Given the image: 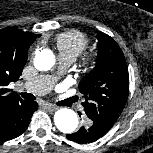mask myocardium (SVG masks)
<instances>
[{
	"mask_svg": "<svg viewBox=\"0 0 153 153\" xmlns=\"http://www.w3.org/2000/svg\"><path fill=\"white\" fill-rule=\"evenodd\" d=\"M95 63V55L92 52L86 53L81 60V66L85 71L91 69Z\"/></svg>",
	"mask_w": 153,
	"mask_h": 153,
	"instance_id": "1",
	"label": "myocardium"
}]
</instances>
